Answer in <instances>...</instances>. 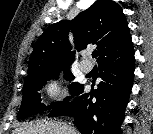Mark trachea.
I'll use <instances>...</instances> for the list:
<instances>
[{"instance_id": "3493384b", "label": "trachea", "mask_w": 153, "mask_h": 134, "mask_svg": "<svg viewBox=\"0 0 153 134\" xmlns=\"http://www.w3.org/2000/svg\"><path fill=\"white\" fill-rule=\"evenodd\" d=\"M98 56V51L97 50H94L93 52H92V57L93 58H96Z\"/></svg>"}]
</instances>
